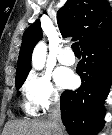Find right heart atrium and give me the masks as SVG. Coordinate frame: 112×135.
Returning <instances> with one entry per match:
<instances>
[{"mask_svg":"<svg viewBox=\"0 0 112 135\" xmlns=\"http://www.w3.org/2000/svg\"><path fill=\"white\" fill-rule=\"evenodd\" d=\"M22 92L26 107L33 113L44 112L60 101V91L47 74L32 72L27 77Z\"/></svg>","mask_w":112,"mask_h":135,"instance_id":"right-heart-atrium-1","label":"right heart atrium"}]
</instances>
